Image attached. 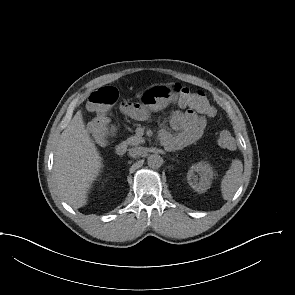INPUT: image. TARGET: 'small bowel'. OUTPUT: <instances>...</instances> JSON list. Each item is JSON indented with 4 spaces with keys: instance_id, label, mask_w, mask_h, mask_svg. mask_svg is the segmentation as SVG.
I'll list each match as a JSON object with an SVG mask.
<instances>
[{
    "instance_id": "c3829d8e",
    "label": "small bowel",
    "mask_w": 295,
    "mask_h": 295,
    "mask_svg": "<svg viewBox=\"0 0 295 295\" xmlns=\"http://www.w3.org/2000/svg\"><path fill=\"white\" fill-rule=\"evenodd\" d=\"M120 108L124 114L132 118L142 120L146 117V111L135 103L124 102ZM170 124L176 133L173 134L168 129L162 128L160 138L168 148L181 149L202 136L206 127V120L193 110H175L170 115Z\"/></svg>"
}]
</instances>
